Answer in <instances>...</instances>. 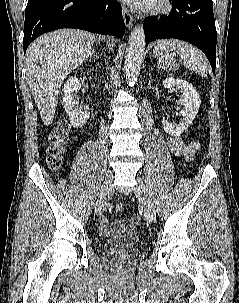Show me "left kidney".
<instances>
[{
	"mask_svg": "<svg viewBox=\"0 0 239 303\" xmlns=\"http://www.w3.org/2000/svg\"><path fill=\"white\" fill-rule=\"evenodd\" d=\"M163 86L167 89L177 86L183 92L181 98L178 100V103L184 106L180 112L182 116L181 122L178 125H174L167 119H163L162 121L166 133L180 136L196 117L201 104L200 96L194 87L185 80L168 77L163 81Z\"/></svg>",
	"mask_w": 239,
	"mask_h": 303,
	"instance_id": "5707ae66",
	"label": "left kidney"
}]
</instances>
